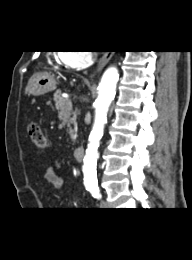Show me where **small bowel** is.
I'll list each match as a JSON object with an SVG mask.
<instances>
[{
	"instance_id": "small-bowel-1",
	"label": "small bowel",
	"mask_w": 192,
	"mask_h": 260,
	"mask_svg": "<svg viewBox=\"0 0 192 260\" xmlns=\"http://www.w3.org/2000/svg\"><path fill=\"white\" fill-rule=\"evenodd\" d=\"M45 182L52 188L58 189L62 186L63 180L58 172L53 168L49 167L44 173Z\"/></svg>"
}]
</instances>
